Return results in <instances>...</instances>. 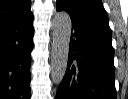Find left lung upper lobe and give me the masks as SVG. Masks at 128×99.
I'll list each match as a JSON object with an SVG mask.
<instances>
[{
	"label": "left lung upper lobe",
	"mask_w": 128,
	"mask_h": 99,
	"mask_svg": "<svg viewBox=\"0 0 128 99\" xmlns=\"http://www.w3.org/2000/svg\"><path fill=\"white\" fill-rule=\"evenodd\" d=\"M63 1L73 6V8L76 10L90 12L108 18L101 0H63Z\"/></svg>",
	"instance_id": "1"
}]
</instances>
